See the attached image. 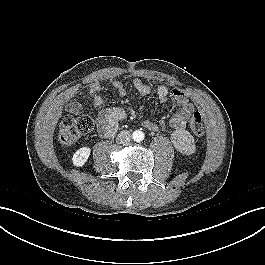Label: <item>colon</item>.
Returning <instances> with one entry per match:
<instances>
[{
    "label": "colon",
    "instance_id": "colon-1",
    "mask_svg": "<svg viewBox=\"0 0 265 265\" xmlns=\"http://www.w3.org/2000/svg\"><path fill=\"white\" fill-rule=\"evenodd\" d=\"M93 118L85 112L80 116H65L58 128V141L62 145L77 143L81 137L93 128ZM189 128L196 136L204 134V118L199 111H193L189 118Z\"/></svg>",
    "mask_w": 265,
    "mask_h": 265
}]
</instances>
